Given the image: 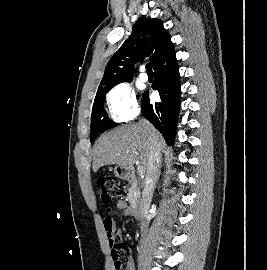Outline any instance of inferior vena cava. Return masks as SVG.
Listing matches in <instances>:
<instances>
[{
  "instance_id": "602c4592",
  "label": "inferior vena cava",
  "mask_w": 267,
  "mask_h": 270,
  "mask_svg": "<svg viewBox=\"0 0 267 270\" xmlns=\"http://www.w3.org/2000/svg\"><path fill=\"white\" fill-rule=\"evenodd\" d=\"M140 124L143 125L149 132H151L152 126L146 119H142L140 121ZM150 140H151L150 158L146 169V177L143 183L142 198L139 205V211L142 216L141 220L142 241L143 239H145L148 231L150 203L152 200L155 183L158 181L159 178V167L161 159L160 148L157 145V142L153 135H151Z\"/></svg>"
}]
</instances>
